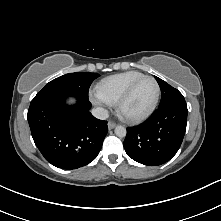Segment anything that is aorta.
Listing matches in <instances>:
<instances>
[{"label":"aorta","instance_id":"aorta-1","mask_svg":"<svg viewBox=\"0 0 221 221\" xmlns=\"http://www.w3.org/2000/svg\"><path fill=\"white\" fill-rule=\"evenodd\" d=\"M114 132H115L116 136L121 137V138L125 137L127 134L126 128L121 125L116 126Z\"/></svg>","mask_w":221,"mask_h":221}]
</instances>
